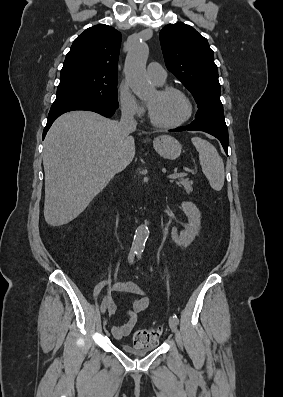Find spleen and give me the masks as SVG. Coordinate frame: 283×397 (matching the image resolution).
<instances>
[{
    "mask_svg": "<svg viewBox=\"0 0 283 397\" xmlns=\"http://www.w3.org/2000/svg\"><path fill=\"white\" fill-rule=\"evenodd\" d=\"M199 153V161L202 171L209 181L210 186L220 191L224 185V163L216 148L207 140L200 137L191 139Z\"/></svg>",
    "mask_w": 283,
    "mask_h": 397,
    "instance_id": "obj_1",
    "label": "spleen"
}]
</instances>
